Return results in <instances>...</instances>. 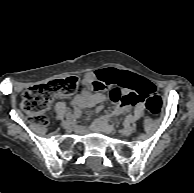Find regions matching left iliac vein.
<instances>
[{
  "label": "left iliac vein",
  "mask_w": 194,
  "mask_h": 193,
  "mask_svg": "<svg viewBox=\"0 0 194 193\" xmlns=\"http://www.w3.org/2000/svg\"><path fill=\"white\" fill-rule=\"evenodd\" d=\"M120 132L124 136H129L134 132V127L133 126H125Z\"/></svg>",
  "instance_id": "left-iliac-vein-1"
}]
</instances>
